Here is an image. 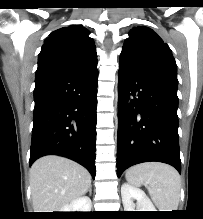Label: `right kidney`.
I'll list each match as a JSON object with an SVG mask.
<instances>
[{"label":"right kidney","instance_id":"ca27d5eb","mask_svg":"<svg viewBox=\"0 0 203 219\" xmlns=\"http://www.w3.org/2000/svg\"><path fill=\"white\" fill-rule=\"evenodd\" d=\"M91 207V199L87 196H82L64 206L60 212H90Z\"/></svg>","mask_w":203,"mask_h":219}]
</instances>
